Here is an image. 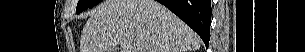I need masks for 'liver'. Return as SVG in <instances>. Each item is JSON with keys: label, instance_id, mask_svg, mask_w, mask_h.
<instances>
[{"label": "liver", "instance_id": "1", "mask_svg": "<svg viewBox=\"0 0 305 52\" xmlns=\"http://www.w3.org/2000/svg\"><path fill=\"white\" fill-rule=\"evenodd\" d=\"M200 43L188 25L157 1L105 0L90 13L80 52H194Z\"/></svg>", "mask_w": 305, "mask_h": 52}]
</instances>
